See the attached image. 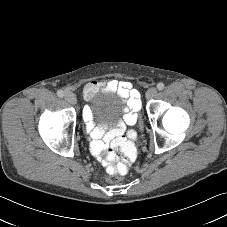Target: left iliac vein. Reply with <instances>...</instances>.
<instances>
[{
    "label": "left iliac vein",
    "mask_w": 227,
    "mask_h": 227,
    "mask_svg": "<svg viewBox=\"0 0 227 227\" xmlns=\"http://www.w3.org/2000/svg\"><path fill=\"white\" fill-rule=\"evenodd\" d=\"M157 95V89L155 87H151L146 92V98L151 99Z\"/></svg>",
    "instance_id": "4c4485c4"
}]
</instances>
